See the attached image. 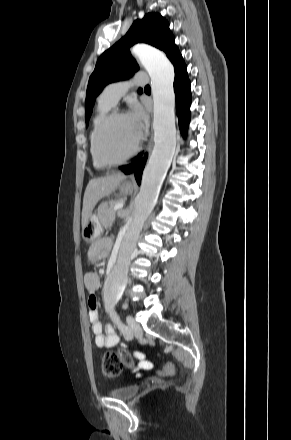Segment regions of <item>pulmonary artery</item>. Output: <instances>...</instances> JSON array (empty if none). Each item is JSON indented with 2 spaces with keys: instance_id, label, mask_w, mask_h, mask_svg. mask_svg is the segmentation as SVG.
<instances>
[{
  "instance_id": "obj_1",
  "label": "pulmonary artery",
  "mask_w": 291,
  "mask_h": 440,
  "mask_svg": "<svg viewBox=\"0 0 291 440\" xmlns=\"http://www.w3.org/2000/svg\"><path fill=\"white\" fill-rule=\"evenodd\" d=\"M147 82L144 73H137L130 79L120 80L108 84L99 95V100L104 104L112 107L118 103L120 98L132 86H142Z\"/></svg>"
}]
</instances>
